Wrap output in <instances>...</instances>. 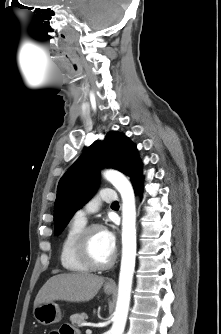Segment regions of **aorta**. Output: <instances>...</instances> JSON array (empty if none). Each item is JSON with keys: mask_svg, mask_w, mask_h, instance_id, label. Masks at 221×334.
Wrapping results in <instances>:
<instances>
[{"mask_svg": "<svg viewBox=\"0 0 221 334\" xmlns=\"http://www.w3.org/2000/svg\"><path fill=\"white\" fill-rule=\"evenodd\" d=\"M104 177L118 190L122 198V259L118 296L109 334H123L130 305L136 257V207L134 190L120 172L107 170Z\"/></svg>", "mask_w": 221, "mask_h": 334, "instance_id": "obj_1", "label": "aorta"}]
</instances>
